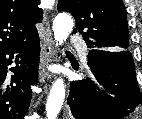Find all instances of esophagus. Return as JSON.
Segmentation results:
<instances>
[{"label":"esophagus","mask_w":142,"mask_h":119,"mask_svg":"<svg viewBox=\"0 0 142 119\" xmlns=\"http://www.w3.org/2000/svg\"><path fill=\"white\" fill-rule=\"evenodd\" d=\"M55 49L54 42L52 38V33L50 30L49 20L45 22V33L44 41L42 44L41 60L39 65V81L40 83H45L46 80H50L52 74L48 70V65L54 60Z\"/></svg>","instance_id":"esophagus-1"}]
</instances>
